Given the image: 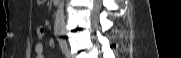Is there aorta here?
<instances>
[{
  "instance_id": "1",
  "label": "aorta",
  "mask_w": 181,
  "mask_h": 58,
  "mask_svg": "<svg viewBox=\"0 0 181 58\" xmlns=\"http://www.w3.org/2000/svg\"><path fill=\"white\" fill-rule=\"evenodd\" d=\"M64 2L65 0H60V3L56 11L54 21V31L56 33H63L65 31Z\"/></svg>"
}]
</instances>
